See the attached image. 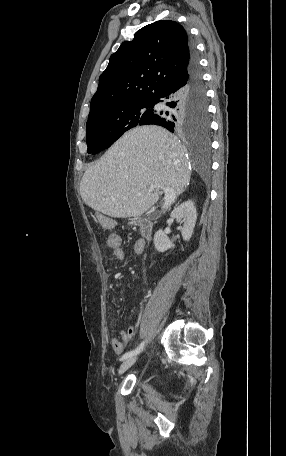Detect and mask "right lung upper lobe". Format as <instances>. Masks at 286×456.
Segmentation results:
<instances>
[{"instance_id":"right-lung-upper-lobe-1","label":"right lung upper lobe","mask_w":286,"mask_h":456,"mask_svg":"<svg viewBox=\"0 0 286 456\" xmlns=\"http://www.w3.org/2000/svg\"><path fill=\"white\" fill-rule=\"evenodd\" d=\"M192 45L177 22L161 20L121 44L99 77L88 119L118 103L154 100L185 77Z\"/></svg>"}]
</instances>
